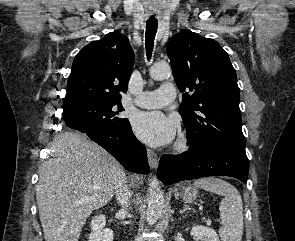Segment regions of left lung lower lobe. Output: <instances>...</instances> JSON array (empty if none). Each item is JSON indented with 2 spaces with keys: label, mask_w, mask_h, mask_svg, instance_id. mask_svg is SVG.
<instances>
[{
  "label": "left lung lower lobe",
  "mask_w": 295,
  "mask_h": 241,
  "mask_svg": "<svg viewBox=\"0 0 295 241\" xmlns=\"http://www.w3.org/2000/svg\"><path fill=\"white\" fill-rule=\"evenodd\" d=\"M248 169L246 153L224 146H209L200 150L190 148L181 155H163L157 176L166 185L218 175L235 177L246 183Z\"/></svg>",
  "instance_id": "1"
}]
</instances>
